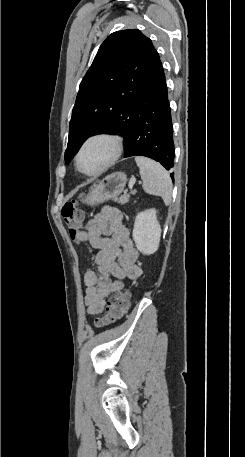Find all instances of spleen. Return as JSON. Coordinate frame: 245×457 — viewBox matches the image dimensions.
I'll list each match as a JSON object with an SVG mask.
<instances>
[{"label":"spleen","mask_w":245,"mask_h":457,"mask_svg":"<svg viewBox=\"0 0 245 457\" xmlns=\"http://www.w3.org/2000/svg\"><path fill=\"white\" fill-rule=\"evenodd\" d=\"M136 164L143 180V188L148 194L162 196L165 204L172 200V180L166 168L147 156H135Z\"/></svg>","instance_id":"1"}]
</instances>
